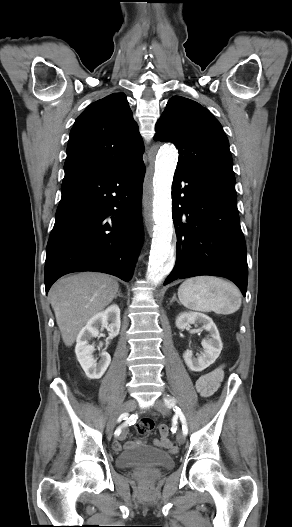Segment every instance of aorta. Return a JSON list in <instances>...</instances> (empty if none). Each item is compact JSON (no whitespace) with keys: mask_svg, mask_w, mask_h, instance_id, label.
<instances>
[{"mask_svg":"<svg viewBox=\"0 0 292 527\" xmlns=\"http://www.w3.org/2000/svg\"><path fill=\"white\" fill-rule=\"evenodd\" d=\"M178 161L173 146L159 149L152 179H145V192L151 193L153 205V238L149 256V277L159 283L173 268L170 261L172 250L173 221L171 211V185Z\"/></svg>","mask_w":292,"mask_h":527,"instance_id":"aorta-1","label":"aorta"}]
</instances>
